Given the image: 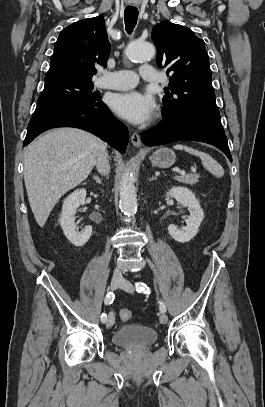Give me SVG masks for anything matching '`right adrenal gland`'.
<instances>
[{
    "label": "right adrenal gland",
    "mask_w": 265,
    "mask_h": 407,
    "mask_svg": "<svg viewBox=\"0 0 265 407\" xmlns=\"http://www.w3.org/2000/svg\"><path fill=\"white\" fill-rule=\"evenodd\" d=\"M93 178L96 181V183L103 184L102 180L98 176L94 175Z\"/></svg>",
    "instance_id": "1"
}]
</instances>
